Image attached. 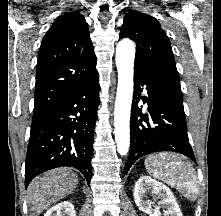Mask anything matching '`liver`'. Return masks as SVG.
<instances>
[{
  "instance_id": "obj_1",
  "label": "liver",
  "mask_w": 221,
  "mask_h": 216,
  "mask_svg": "<svg viewBox=\"0 0 221 216\" xmlns=\"http://www.w3.org/2000/svg\"><path fill=\"white\" fill-rule=\"evenodd\" d=\"M78 182L77 174L66 167L47 171L34 178L27 189V203L32 211L30 216H38L50 205L71 194Z\"/></svg>"
}]
</instances>
